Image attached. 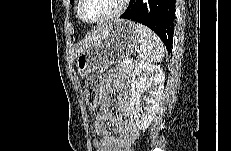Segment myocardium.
Listing matches in <instances>:
<instances>
[{"label":"myocardium","instance_id":"1","mask_svg":"<svg viewBox=\"0 0 231 151\" xmlns=\"http://www.w3.org/2000/svg\"><path fill=\"white\" fill-rule=\"evenodd\" d=\"M128 2H129V0H121L120 6L118 7V9L115 12H113L107 16H104L102 18L91 20V19L86 18L84 16V13H83L85 0H80L79 6H78V14H79V17L86 23L101 24V23H105V22L114 20V19L118 18L119 16H121L123 14V12L125 11Z\"/></svg>","mask_w":231,"mask_h":151}]
</instances>
